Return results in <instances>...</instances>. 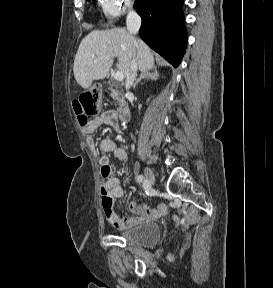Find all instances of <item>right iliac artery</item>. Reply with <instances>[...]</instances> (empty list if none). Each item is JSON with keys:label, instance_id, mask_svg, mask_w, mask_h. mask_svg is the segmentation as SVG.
Masks as SVG:
<instances>
[{"label": "right iliac artery", "instance_id": "right-iliac-artery-1", "mask_svg": "<svg viewBox=\"0 0 273 288\" xmlns=\"http://www.w3.org/2000/svg\"><path fill=\"white\" fill-rule=\"evenodd\" d=\"M144 181L143 175L137 176V182L142 183Z\"/></svg>", "mask_w": 273, "mask_h": 288}]
</instances>
